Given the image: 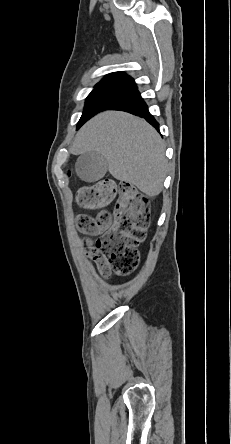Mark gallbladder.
Masks as SVG:
<instances>
[{"mask_svg": "<svg viewBox=\"0 0 231 444\" xmlns=\"http://www.w3.org/2000/svg\"><path fill=\"white\" fill-rule=\"evenodd\" d=\"M106 158L96 151L86 152L76 162L78 176L86 182H95L101 179L107 172Z\"/></svg>", "mask_w": 231, "mask_h": 444, "instance_id": "gallbladder-1", "label": "gallbladder"}]
</instances>
